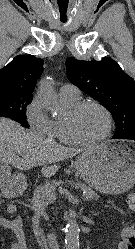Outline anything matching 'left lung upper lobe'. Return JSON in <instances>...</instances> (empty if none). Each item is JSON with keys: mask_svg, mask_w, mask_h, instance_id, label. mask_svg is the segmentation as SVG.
I'll return each instance as SVG.
<instances>
[{"mask_svg": "<svg viewBox=\"0 0 135 249\" xmlns=\"http://www.w3.org/2000/svg\"><path fill=\"white\" fill-rule=\"evenodd\" d=\"M67 76L72 84L101 102L116 124L114 138L135 131V81L110 57L101 61L66 60Z\"/></svg>", "mask_w": 135, "mask_h": 249, "instance_id": "left-lung-upper-lobe-1", "label": "left lung upper lobe"}]
</instances>
